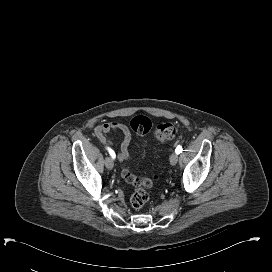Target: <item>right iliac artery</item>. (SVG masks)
Returning a JSON list of instances; mask_svg holds the SVG:
<instances>
[{"mask_svg":"<svg viewBox=\"0 0 272 272\" xmlns=\"http://www.w3.org/2000/svg\"><path fill=\"white\" fill-rule=\"evenodd\" d=\"M107 150L109 151L110 156H111L113 159H115V157H116L115 152H114L112 149H110V148H107Z\"/></svg>","mask_w":272,"mask_h":272,"instance_id":"1","label":"right iliac artery"}]
</instances>
